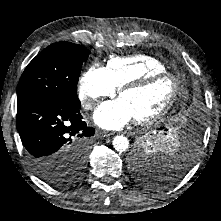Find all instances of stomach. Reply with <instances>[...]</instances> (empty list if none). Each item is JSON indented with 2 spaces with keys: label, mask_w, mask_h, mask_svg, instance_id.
Returning <instances> with one entry per match:
<instances>
[{
  "label": "stomach",
  "mask_w": 221,
  "mask_h": 221,
  "mask_svg": "<svg viewBox=\"0 0 221 221\" xmlns=\"http://www.w3.org/2000/svg\"><path fill=\"white\" fill-rule=\"evenodd\" d=\"M166 134H172L173 135V139H171V140H166V143L167 144H165V146L166 147H168V146H173V143H174V141L175 142H177V139H176V130H174V131H168Z\"/></svg>",
  "instance_id": "obj_1"
}]
</instances>
